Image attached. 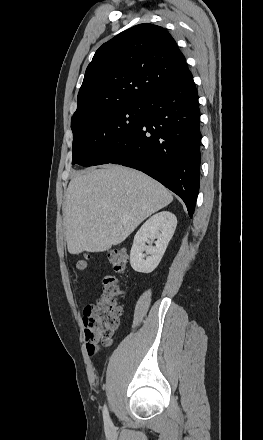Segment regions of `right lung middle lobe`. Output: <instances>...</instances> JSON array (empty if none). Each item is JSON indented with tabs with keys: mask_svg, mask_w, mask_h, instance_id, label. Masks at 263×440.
<instances>
[{
	"mask_svg": "<svg viewBox=\"0 0 263 440\" xmlns=\"http://www.w3.org/2000/svg\"><path fill=\"white\" fill-rule=\"evenodd\" d=\"M144 117V103H127L84 118L72 128L73 164L83 166L108 163L112 149L126 140Z\"/></svg>",
	"mask_w": 263,
	"mask_h": 440,
	"instance_id": "1",
	"label": "right lung middle lobe"
}]
</instances>
